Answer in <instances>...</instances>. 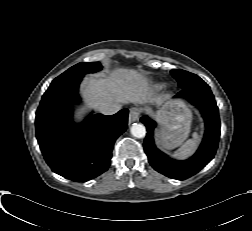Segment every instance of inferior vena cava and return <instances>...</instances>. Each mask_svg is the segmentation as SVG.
Returning a JSON list of instances; mask_svg holds the SVG:
<instances>
[{
	"instance_id": "602c4592",
	"label": "inferior vena cava",
	"mask_w": 252,
	"mask_h": 231,
	"mask_svg": "<svg viewBox=\"0 0 252 231\" xmlns=\"http://www.w3.org/2000/svg\"><path fill=\"white\" fill-rule=\"evenodd\" d=\"M121 109L120 103H113L99 107V112L104 115H113Z\"/></svg>"
}]
</instances>
